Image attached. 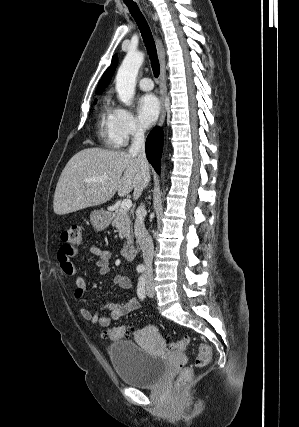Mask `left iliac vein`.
Returning a JSON list of instances; mask_svg holds the SVG:
<instances>
[{"label":"left iliac vein","instance_id":"obj_1","mask_svg":"<svg viewBox=\"0 0 299 427\" xmlns=\"http://www.w3.org/2000/svg\"><path fill=\"white\" fill-rule=\"evenodd\" d=\"M146 294L151 298L154 297L155 295L154 289H153V283L151 280L146 281Z\"/></svg>","mask_w":299,"mask_h":427}]
</instances>
